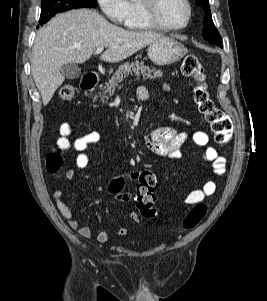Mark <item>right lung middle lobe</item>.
I'll return each mask as SVG.
<instances>
[{
  "label": "right lung middle lobe",
  "mask_w": 267,
  "mask_h": 301,
  "mask_svg": "<svg viewBox=\"0 0 267 301\" xmlns=\"http://www.w3.org/2000/svg\"><path fill=\"white\" fill-rule=\"evenodd\" d=\"M97 0H42L40 25L48 22L51 17L59 12L77 8L96 7Z\"/></svg>",
  "instance_id": "1"
}]
</instances>
